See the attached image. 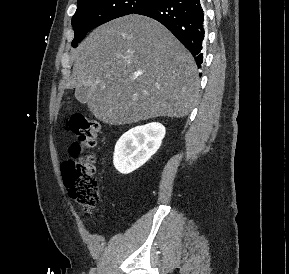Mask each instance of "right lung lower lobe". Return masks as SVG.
I'll use <instances>...</instances> for the list:
<instances>
[{
    "label": "right lung lower lobe",
    "mask_w": 289,
    "mask_h": 274,
    "mask_svg": "<svg viewBox=\"0 0 289 274\" xmlns=\"http://www.w3.org/2000/svg\"><path fill=\"white\" fill-rule=\"evenodd\" d=\"M135 14L153 18L167 27L192 53L198 68L201 67L205 34L202 0H157Z\"/></svg>",
    "instance_id": "1"
}]
</instances>
